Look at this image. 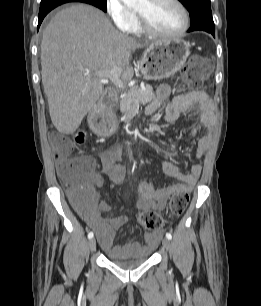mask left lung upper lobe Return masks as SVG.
<instances>
[{
  "instance_id": "1",
  "label": "left lung upper lobe",
  "mask_w": 261,
  "mask_h": 306,
  "mask_svg": "<svg viewBox=\"0 0 261 306\" xmlns=\"http://www.w3.org/2000/svg\"><path fill=\"white\" fill-rule=\"evenodd\" d=\"M189 11L191 27L214 28L210 0H179Z\"/></svg>"
}]
</instances>
